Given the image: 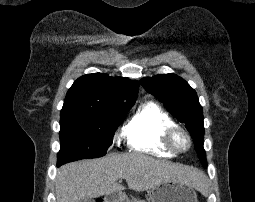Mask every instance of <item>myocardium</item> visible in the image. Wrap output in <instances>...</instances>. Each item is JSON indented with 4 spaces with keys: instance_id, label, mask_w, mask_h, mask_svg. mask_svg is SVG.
<instances>
[{
    "instance_id": "f54148a6",
    "label": "myocardium",
    "mask_w": 255,
    "mask_h": 202,
    "mask_svg": "<svg viewBox=\"0 0 255 202\" xmlns=\"http://www.w3.org/2000/svg\"><path fill=\"white\" fill-rule=\"evenodd\" d=\"M178 133H181L187 139L188 145L184 149L178 148L175 144V136ZM163 143L173 153L181 154V153H185V152L189 151V149L191 148L192 137H191L190 133L184 127L174 124L171 127H169L168 129H166V131L163 135Z\"/></svg>"
}]
</instances>
